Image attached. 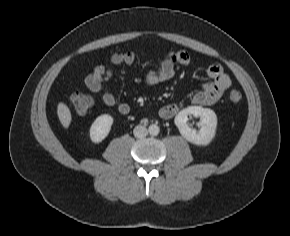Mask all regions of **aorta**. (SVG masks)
Masks as SVG:
<instances>
[{"label":"aorta","instance_id":"aorta-1","mask_svg":"<svg viewBox=\"0 0 290 236\" xmlns=\"http://www.w3.org/2000/svg\"><path fill=\"white\" fill-rule=\"evenodd\" d=\"M159 131H160V128L157 125H155V124L150 125L149 128H148L149 134H151L153 136L158 135Z\"/></svg>","mask_w":290,"mask_h":236}]
</instances>
